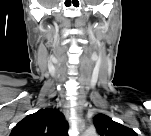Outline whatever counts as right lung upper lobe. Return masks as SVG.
<instances>
[{
  "label": "right lung upper lobe",
  "instance_id": "obj_1",
  "mask_svg": "<svg viewBox=\"0 0 151 136\" xmlns=\"http://www.w3.org/2000/svg\"><path fill=\"white\" fill-rule=\"evenodd\" d=\"M63 115L56 109H40L27 115L12 130V136H64Z\"/></svg>",
  "mask_w": 151,
  "mask_h": 136
}]
</instances>
